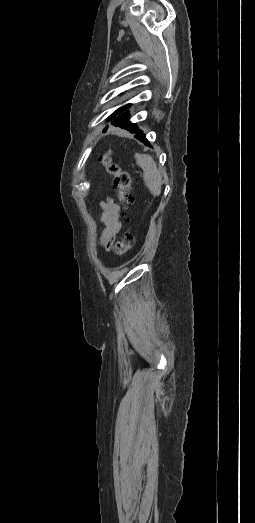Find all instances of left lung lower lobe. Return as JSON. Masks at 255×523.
Here are the masks:
<instances>
[{
	"mask_svg": "<svg viewBox=\"0 0 255 523\" xmlns=\"http://www.w3.org/2000/svg\"><path fill=\"white\" fill-rule=\"evenodd\" d=\"M136 140H143L142 144L144 146L151 145V140H149V134H140V137H136Z\"/></svg>",
	"mask_w": 255,
	"mask_h": 523,
	"instance_id": "obj_1",
	"label": "left lung lower lobe"
}]
</instances>
